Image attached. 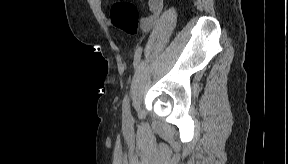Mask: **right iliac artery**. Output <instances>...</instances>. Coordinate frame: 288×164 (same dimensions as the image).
I'll list each match as a JSON object with an SVG mask.
<instances>
[{"mask_svg":"<svg viewBox=\"0 0 288 164\" xmlns=\"http://www.w3.org/2000/svg\"><path fill=\"white\" fill-rule=\"evenodd\" d=\"M141 54H142V48L138 47L135 51V55H134V62L133 65L136 68L140 62V58H141ZM131 115H130V108H129V98L128 96H126L124 98L123 101V118L125 121H128L130 119Z\"/></svg>","mask_w":288,"mask_h":164,"instance_id":"82829eb1","label":"right iliac artery"}]
</instances>
